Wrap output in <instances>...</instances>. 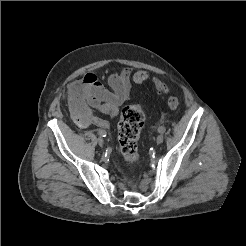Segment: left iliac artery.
I'll list each match as a JSON object with an SVG mask.
<instances>
[{
	"instance_id": "1",
	"label": "left iliac artery",
	"mask_w": 246,
	"mask_h": 246,
	"mask_svg": "<svg viewBox=\"0 0 246 246\" xmlns=\"http://www.w3.org/2000/svg\"><path fill=\"white\" fill-rule=\"evenodd\" d=\"M165 127L164 126H160L159 128H158V132L159 133H164L165 132Z\"/></svg>"
}]
</instances>
